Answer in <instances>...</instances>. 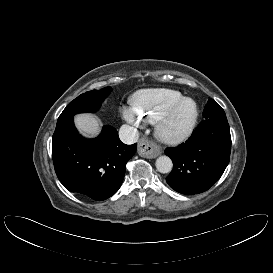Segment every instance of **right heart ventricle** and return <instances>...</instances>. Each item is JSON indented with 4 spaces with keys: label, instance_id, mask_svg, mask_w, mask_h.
<instances>
[{
    "label": "right heart ventricle",
    "instance_id": "right-heart-ventricle-1",
    "mask_svg": "<svg viewBox=\"0 0 273 273\" xmlns=\"http://www.w3.org/2000/svg\"><path fill=\"white\" fill-rule=\"evenodd\" d=\"M184 98L179 91L153 88L137 91L131 98L132 107L144 122L155 123L174 103Z\"/></svg>",
    "mask_w": 273,
    "mask_h": 273
}]
</instances>
